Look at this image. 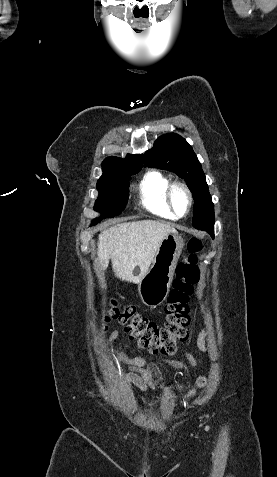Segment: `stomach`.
<instances>
[{
	"label": "stomach",
	"instance_id": "1",
	"mask_svg": "<svg viewBox=\"0 0 277 477\" xmlns=\"http://www.w3.org/2000/svg\"><path fill=\"white\" fill-rule=\"evenodd\" d=\"M183 246L178 233H170L162 240L151 268L138 284V296L144 305L155 308L165 301Z\"/></svg>",
	"mask_w": 277,
	"mask_h": 477
}]
</instances>
